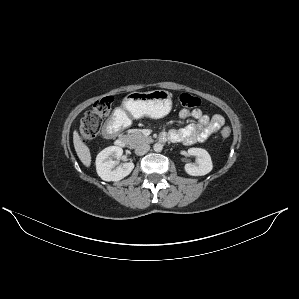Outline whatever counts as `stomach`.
<instances>
[{
  "mask_svg": "<svg viewBox=\"0 0 299 299\" xmlns=\"http://www.w3.org/2000/svg\"><path fill=\"white\" fill-rule=\"evenodd\" d=\"M171 107V94L165 90L131 92L122 103L123 112H128L134 119L143 116L163 118L170 112Z\"/></svg>",
  "mask_w": 299,
  "mask_h": 299,
  "instance_id": "0dacf381",
  "label": "stomach"
}]
</instances>
